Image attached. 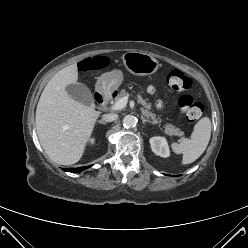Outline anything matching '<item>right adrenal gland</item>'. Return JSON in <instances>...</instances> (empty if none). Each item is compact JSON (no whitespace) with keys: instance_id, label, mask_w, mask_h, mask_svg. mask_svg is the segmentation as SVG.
<instances>
[{"instance_id":"obj_1","label":"right adrenal gland","mask_w":248,"mask_h":248,"mask_svg":"<svg viewBox=\"0 0 248 248\" xmlns=\"http://www.w3.org/2000/svg\"><path fill=\"white\" fill-rule=\"evenodd\" d=\"M98 123H100V124H104V125H106V124H107V122H105V121H103V120H99V121H98Z\"/></svg>"}]
</instances>
